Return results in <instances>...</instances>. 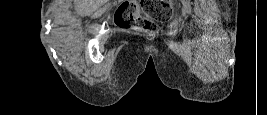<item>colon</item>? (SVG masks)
<instances>
[{
  "label": "colon",
  "instance_id": "5ec220e1",
  "mask_svg": "<svg viewBox=\"0 0 267 115\" xmlns=\"http://www.w3.org/2000/svg\"><path fill=\"white\" fill-rule=\"evenodd\" d=\"M145 12L153 20H148L139 14L138 1L123 2L117 9L115 20L120 27H135L149 34L158 32V23L168 22L172 17L171 0H141Z\"/></svg>",
  "mask_w": 267,
  "mask_h": 115
}]
</instances>
